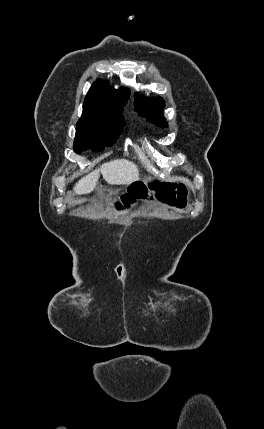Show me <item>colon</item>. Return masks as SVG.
<instances>
[{
	"instance_id": "obj_1",
	"label": "colon",
	"mask_w": 264,
	"mask_h": 429,
	"mask_svg": "<svg viewBox=\"0 0 264 429\" xmlns=\"http://www.w3.org/2000/svg\"><path fill=\"white\" fill-rule=\"evenodd\" d=\"M153 195L165 204L177 208H183L187 203V189L182 184L177 186L173 183L162 182L150 186L137 182L121 196L117 207H130L136 201L151 198Z\"/></svg>"
}]
</instances>
